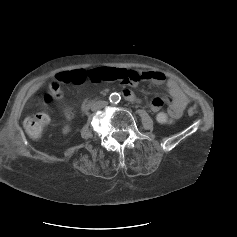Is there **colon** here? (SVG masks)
I'll list each match as a JSON object with an SVG mask.
<instances>
[{
  "label": "colon",
  "mask_w": 237,
  "mask_h": 237,
  "mask_svg": "<svg viewBox=\"0 0 237 237\" xmlns=\"http://www.w3.org/2000/svg\"><path fill=\"white\" fill-rule=\"evenodd\" d=\"M140 80L141 78L137 71L122 68L104 67L92 70L78 69L57 74L55 81L50 85L49 92L40 94L39 97L45 104H48L51 100V96H61L63 88L67 85H80L86 81L95 83L110 81L123 85H136ZM49 120L47 110H41L35 115L25 119L24 128L31 138H39ZM156 120L160 124H170L173 117L169 112L161 111L157 113Z\"/></svg>",
  "instance_id": "1"
}]
</instances>
